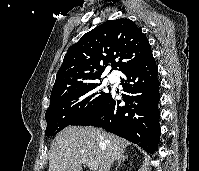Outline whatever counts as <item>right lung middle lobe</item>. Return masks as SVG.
<instances>
[{
  "instance_id": "obj_1",
  "label": "right lung middle lobe",
  "mask_w": 199,
  "mask_h": 171,
  "mask_svg": "<svg viewBox=\"0 0 199 171\" xmlns=\"http://www.w3.org/2000/svg\"><path fill=\"white\" fill-rule=\"evenodd\" d=\"M107 95L108 93L101 90L100 84L93 81L50 104L45 114L47 121L45 134L47 136L56 135L81 115L94 108Z\"/></svg>"
}]
</instances>
